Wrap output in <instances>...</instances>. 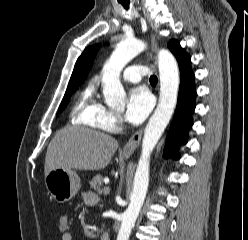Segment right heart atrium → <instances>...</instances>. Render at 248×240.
I'll return each instance as SVG.
<instances>
[{"label": "right heart atrium", "instance_id": "d8ad5b80", "mask_svg": "<svg viewBox=\"0 0 248 240\" xmlns=\"http://www.w3.org/2000/svg\"><path fill=\"white\" fill-rule=\"evenodd\" d=\"M96 124L103 130L115 131L122 125V118L117 113L103 107L96 118Z\"/></svg>", "mask_w": 248, "mask_h": 240}]
</instances>
